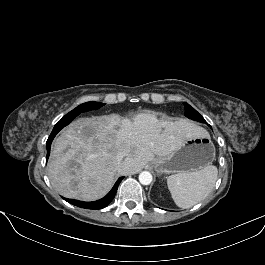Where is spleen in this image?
<instances>
[{
    "instance_id": "spleen-1",
    "label": "spleen",
    "mask_w": 265,
    "mask_h": 265,
    "mask_svg": "<svg viewBox=\"0 0 265 265\" xmlns=\"http://www.w3.org/2000/svg\"><path fill=\"white\" fill-rule=\"evenodd\" d=\"M217 173V168L209 165L198 171L169 176L167 185L176 205L190 208L207 197L217 180Z\"/></svg>"
}]
</instances>
